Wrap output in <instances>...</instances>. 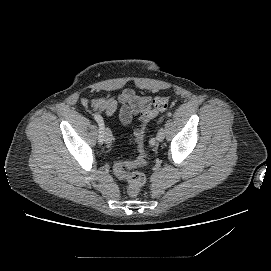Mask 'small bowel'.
Returning <instances> with one entry per match:
<instances>
[{
  "instance_id": "obj_1",
  "label": "small bowel",
  "mask_w": 271,
  "mask_h": 271,
  "mask_svg": "<svg viewBox=\"0 0 271 271\" xmlns=\"http://www.w3.org/2000/svg\"><path fill=\"white\" fill-rule=\"evenodd\" d=\"M85 106L112 116L120 107L119 119L123 125H128L143 110L150 107L151 99L147 96L136 94L133 90H125L118 97L83 99Z\"/></svg>"
}]
</instances>
